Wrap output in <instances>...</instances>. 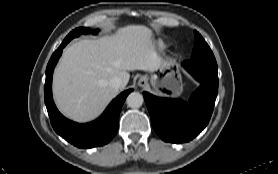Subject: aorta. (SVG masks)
I'll use <instances>...</instances> for the list:
<instances>
[{"label":"aorta","instance_id":"762f6f07","mask_svg":"<svg viewBox=\"0 0 278 174\" xmlns=\"http://www.w3.org/2000/svg\"><path fill=\"white\" fill-rule=\"evenodd\" d=\"M143 101H144V98H143L142 94H140L139 92H132L126 98L127 105L131 108L141 107L143 104Z\"/></svg>","mask_w":278,"mask_h":174}]
</instances>
